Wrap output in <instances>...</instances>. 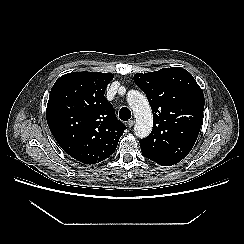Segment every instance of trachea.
Wrapping results in <instances>:
<instances>
[{
  "instance_id": "obj_1",
  "label": "trachea",
  "mask_w": 244,
  "mask_h": 244,
  "mask_svg": "<svg viewBox=\"0 0 244 244\" xmlns=\"http://www.w3.org/2000/svg\"><path fill=\"white\" fill-rule=\"evenodd\" d=\"M119 117L123 121H128L131 118V111L127 107H122L119 111Z\"/></svg>"
}]
</instances>
